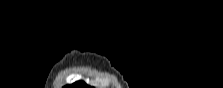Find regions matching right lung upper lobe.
<instances>
[{"instance_id":"1","label":"right lung upper lobe","mask_w":223,"mask_h":88,"mask_svg":"<svg viewBox=\"0 0 223 88\" xmlns=\"http://www.w3.org/2000/svg\"><path fill=\"white\" fill-rule=\"evenodd\" d=\"M65 88H90L87 84H85L83 81H78L72 85H67Z\"/></svg>"}]
</instances>
